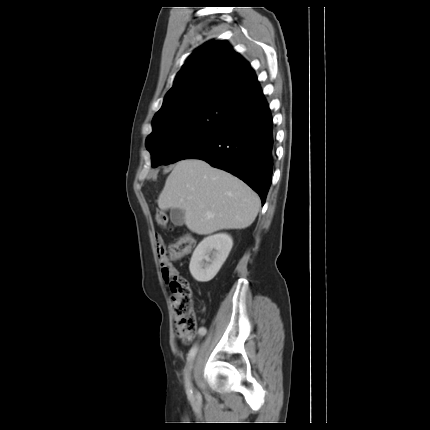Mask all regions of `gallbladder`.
<instances>
[{
    "mask_svg": "<svg viewBox=\"0 0 430 430\" xmlns=\"http://www.w3.org/2000/svg\"><path fill=\"white\" fill-rule=\"evenodd\" d=\"M184 211L179 208H172L170 210V219L175 226H182L184 224Z\"/></svg>",
    "mask_w": 430,
    "mask_h": 430,
    "instance_id": "obj_1",
    "label": "gallbladder"
}]
</instances>
